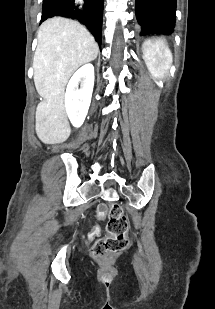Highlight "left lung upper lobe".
I'll return each instance as SVG.
<instances>
[{"label":"left lung upper lobe","instance_id":"5c2ea615","mask_svg":"<svg viewBox=\"0 0 215 309\" xmlns=\"http://www.w3.org/2000/svg\"><path fill=\"white\" fill-rule=\"evenodd\" d=\"M135 13L141 36L175 31L176 0H135Z\"/></svg>","mask_w":215,"mask_h":309}]
</instances>
